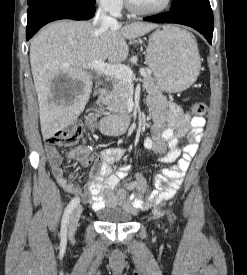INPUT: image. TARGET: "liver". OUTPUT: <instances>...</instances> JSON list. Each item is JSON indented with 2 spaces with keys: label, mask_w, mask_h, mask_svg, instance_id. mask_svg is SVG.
<instances>
[{
  "label": "liver",
  "mask_w": 247,
  "mask_h": 275,
  "mask_svg": "<svg viewBox=\"0 0 247 275\" xmlns=\"http://www.w3.org/2000/svg\"><path fill=\"white\" fill-rule=\"evenodd\" d=\"M157 27L134 22L105 29L87 21L62 20L42 29L31 42L30 64L43 138L49 139L73 124L85 109L93 86L86 65L124 61L129 54L126 39L143 36ZM60 75L76 83L74 94L52 91V82Z\"/></svg>",
  "instance_id": "6515ba94"
}]
</instances>
